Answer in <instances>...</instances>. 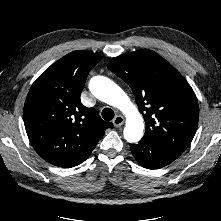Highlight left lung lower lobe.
<instances>
[{"label": "left lung lower lobe", "instance_id": "1", "mask_svg": "<svg viewBox=\"0 0 221 221\" xmlns=\"http://www.w3.org/2000/svg\"><path fill=\"white\" fill-rule=\"evenodd\" d=\"M130 150L137 162L144 168L159 169L177 159L180 154L141 139L138 144H130Z\"/></svg>", "mask_w": 221, "mask_h": 221}]
</instances>
